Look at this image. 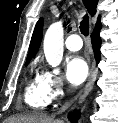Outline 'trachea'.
Here are the masks:
<instances>
[{
  "mask_svg": "<svg viewBox=\"0 0 118 123\" xmlns=\"http://www.w3.org/2000/svg\"><path fill=\"white\" fill-rule=\"evenodd\" d=\"M80 31L84 36L89 34V18L85 15L80 23Z\"/></svg>",
  "mask_w": 118,
  "mask_h": 123,
  "instance_id": "1",
  "label": "trachea"
}]
</instances>
